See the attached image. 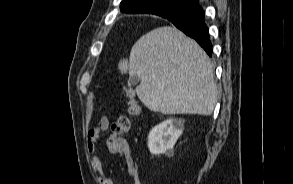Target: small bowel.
Returning a JSON list of instances; mask_svg holds the SVG:
<instances>
[{
    "label": "small bowel",
    "mask_w": 293,
    "mask_h": 184,
    "mask_svg": "<svg viewBox=\"0 0 293 184\" xmlns=\"http://www.w3.org/2000/svg\"><path fill=\"white\" fill-rule=\"evenodd\" d=\"M110 125L109 118L106 115L100 117L98 124L87 132V150L92 156L91 163L94 171L97 174L99 184H115L112 178L108 177L103 170L102 162L97 155V141L100 135L105 132ZM124 147V158L127 165V171L132 184H141L139 170L136 161L130 154L126 144Z\"/></svg>",
    "instance_id": "small-bowel-1"
}]
</instances>
